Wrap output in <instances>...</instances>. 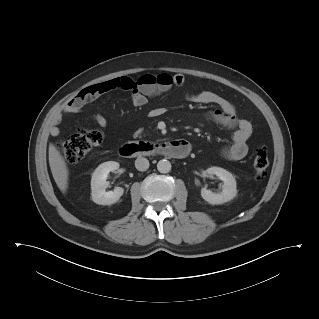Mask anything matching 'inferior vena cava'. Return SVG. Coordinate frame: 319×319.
Segmentation results:
<instances>
[{
    "instance_id": "1",
    "label": "inferior vena cava",
    "mask_w": 319,
    "mask_h": 319,
    "mask_svg": "<svg viewBox=\"0 0 319 319\" xmlns=\"http://www.w3.org/2000/svg\"><path fill=\"white\" fill-rule=\"evenodd\" d=\"M135 167L139 171H146L149 168V161L144 157H138L135 160Z\"/></svg>"
}]
</instances>
